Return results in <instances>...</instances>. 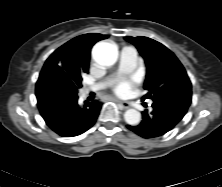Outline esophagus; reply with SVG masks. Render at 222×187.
<instances>
[{
	"mask_svg": "<svg viewBox=\"0 0 222 187\" xmlns=\"http://www.w3.org/2000/svg\"><path fill=\"white\" fill-rule=\"evenodd\" d=\"M118 102H119V105L122 106V108L124 109L130 108V104L128 102H123V101H118Z\"/></svg>",
	"mask_w": 222,
	"mask_h": 187,
	"instance_id": "34e87169",
	"label": "esophagus"
}]
</instances>
